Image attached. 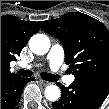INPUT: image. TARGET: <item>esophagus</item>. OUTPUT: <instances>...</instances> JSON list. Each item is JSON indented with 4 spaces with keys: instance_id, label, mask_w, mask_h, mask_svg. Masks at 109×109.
I'll return each mask as SVG.
<instances>
[{
    "instance_id": "34e87169",
    "label": "esophagus",
    "mask_w": 109,
    "mask_h": 109,
    "mask_svg": "<svg viewBox=\"0 0 109 109\" xmlns=\"http://www.w3.org/2000/svg\"><path fill=\"white\" fill-rule=\"evenodd\" d=\"M40 82L44 85V86H47V85H50L51 83L46 81V80H43V79H40Z\"/></svg>"
}]
</instances>
